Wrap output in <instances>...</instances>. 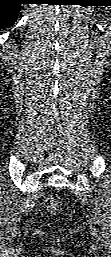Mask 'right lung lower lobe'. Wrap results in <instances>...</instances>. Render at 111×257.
Returning <instances> with one entry per match:
<instances>
[{"instance_id": "obj_1", "label": "right lung lower lobe", "mask_w": 111, "mask_h": 257, "mask_svg": "<svg viewBox=\"0 0 111 257\" xmlns=\"http://www.w3.org/2000/svg\"><path fill=\"white\" fill-rule=\"evenodd\" d=\"M24 0H0V27L7 28L14 24Z\"/></svg>"}]
</instances>
